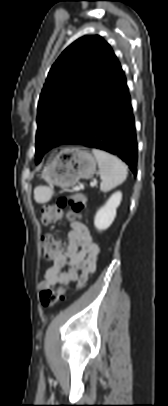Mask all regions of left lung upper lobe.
Segmentation results:
<instances>
[{
	"instance_id": "5c2ea615",
	"label": "left lung upper lobe",
	"mask_w": 168,
	"mask_h": 406,
	"mask_svg": "<svg viewBox=\"0 0 168 406\" xmlns=\"http://www.w3.org/2000/svg\"><path fill=\"white\" fill-rule=\"evenodd\" d=\"M120 64L100 36H84L59 56L50 69L38 103L36 162L83 126Z\"/></svg>"
}]
</instances>
